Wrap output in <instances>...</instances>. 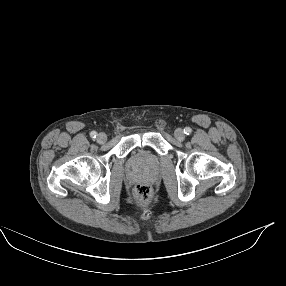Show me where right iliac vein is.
<instances>
[{"instance_id": "1", "label": "right iliac vein", "mask_w": 286, "mask_h": 286, "mask_svg": "<svg viewBox=\"0 0 286 286\" xmlns=\"http://www.w3.org/2000/svg\"><path fill=\"white\" fill-rule=\"evenodd\" d=\"M106 141H107V136H106L105 133H99V134L97 135V142H98L99 144H103V143H105Z\"/></svg>"}]
</instances>
